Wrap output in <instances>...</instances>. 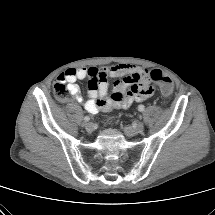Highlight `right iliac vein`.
Returning a JSON list of instances; mask_svg holds the SVG:
<instances>
[{
    "label": "right iliac vein",
    "instance_id": "right-iliac-vein-1",
    "mask_svg": "<svg viewBox=\"0 0 215 215\" xmlns=\"http://www.w3.org/2000/svg\"><path fill=\"white\" fill-rule=\"evenodd\" d=\"M85 129L88 131V132H92L94 130V125L90 122L88 123H85Z\"/></svg>",
    "mask_w": 215,
    "mask_h": 215
}]
</instances>
